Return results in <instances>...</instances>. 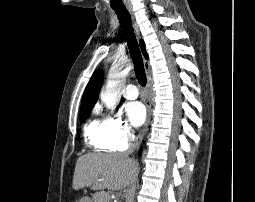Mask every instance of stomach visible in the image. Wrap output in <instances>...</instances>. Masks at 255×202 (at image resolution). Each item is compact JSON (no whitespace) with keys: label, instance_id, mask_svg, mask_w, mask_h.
I'll list each match as a JSON object with an SVG mask.
<instances>
[{"label":"stomach","instance_id":"1","mask_svg":"<svg viewBox=\"0 0 255 202\" xmlns=\"http://www.w3.org/2000/svg\"><path fill=\"white\" fill-rule=\"evenodd\" d=\"M79 202H91V200L85 197V198H82Z\"/></svg>","mask_w":255,"mask_h":202}]
</instances>
